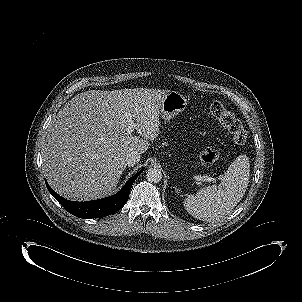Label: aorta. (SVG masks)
<instances>
[{"mask_svg":"<svg viewBox=\"0 0 302 302\" xmlns=\"http://www.w3.org/2000/svg\"><path fill=\"white\" fill-rule=\"evenodd\" d=\"M146 179L151 183H158L162 179V172L159 168H150L146 172Z\"/></svg>","mask_w":302,"mask_h":302,"instance_id":"aorta-1","label":"aorta"}]
</instances>
